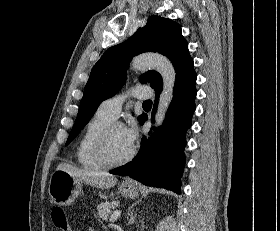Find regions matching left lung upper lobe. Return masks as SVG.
I'll use <instances>...</instances> for the list:
<instances>
[{
    "label": "left lung upper lobe",
    "instance_id": "1",
    "mask_svg": "<svg viewBox=\"0 0 280 231\" xmlns=\"http://www.w3.org/2000/svg\"><path fill=\"white\" fill-rule=\"evenodd\" d=\"M144 52H158L169 58L176 71V80L193 66L188 43L181 34V27L170 19L150 16L143 28H139L125 42L110 47L93 67L66 145L89 122L99 104L120 90L131 59ZM140 81L149 82L155 91L162 88L163 84L160 74L156 71L144 73L140 76Z\"/></svg>",
    "mask_w": 280,
    "mask_h": 231
}]
</instances>
